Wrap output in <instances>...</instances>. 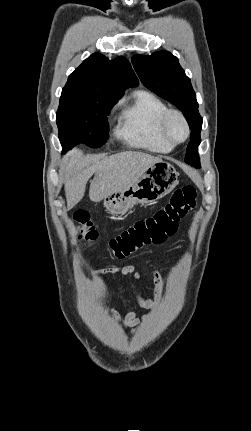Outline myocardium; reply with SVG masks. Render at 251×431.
Masks as SVG:
<instances>
[{
	"instance_id": "f54148a6",
	"label": "myocardium",
	"mask_w": 251,
	"mask_h": 431,
	"mask_svg": "<svg viewBox=\"0 0 251 431\" xmlns=\"http://www.w3.org/2000/svg\"><path fill=\"white\" fill-rule=\"evenodd\" d=\"M172 116L178 117L182 121V123L185 127V137L180 141L174 140L169 134L168 123H169V120ZM159 131H160L161 136L163 137V139L166 142H168L172 146H177V145L184 143L189 138V136H190V125H189V122H188L186 116L183 114V112H181L178 109H167L162 114V116L160 118Z\"/></svg>"
}]
</instances>
